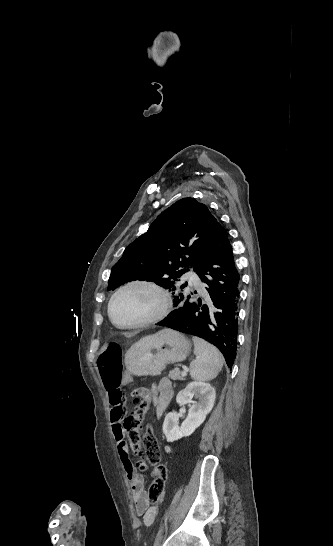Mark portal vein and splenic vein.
Masks as SVG:
<instances>
[{
    "instance_id": "1",
    "label": "portal vein and splenic vein",
    "mask_w": 333,
    "mask_h": 546,
    "mask_svg": "<svg viewBox=\"0 0 333 546\" xmlns=\"http://www.w3.org/2000/svg\"><path fill=\"white\" fill-rule=\"evenodd\" d=\"M181 374H182V376H186V375H187V372H186V371H183Z\"/></svg>"
}]
</instances>
